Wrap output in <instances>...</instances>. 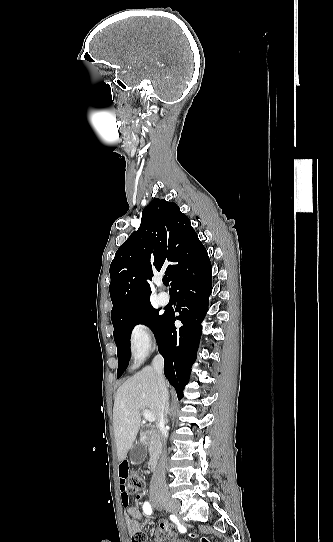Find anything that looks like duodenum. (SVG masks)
Returning <instances> with one entry per match:
<instances>
[{"instance_id": "duodenum-1", "label": "duodenum", "mask_w": 333, "mask_h": 542, "mask_svg": "<svg viewBox=\"0 0 333 542\" xmlns=\"http://www.w3.org/2000/svg\"><path fill=\"white\" fill-rule=\"evenodd\" d=\"M148 443L150 446L149 469L153 472L156 471L162 455V444L155 435L149 437Z\"/></svg>"}]
</instances>
